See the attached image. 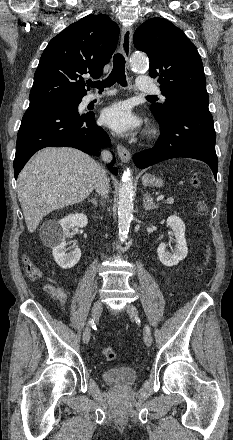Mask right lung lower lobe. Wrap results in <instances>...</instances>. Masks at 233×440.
Wrapping results in <instances>:
<instances>
[{
    "mask_svg": "<svg viewBox=\"0 0 233 440\" xmlns=\"http://www.w3.org/2000/svg\"><path fill=\"white\" fill-rule=\"evenodd\" d=\"M107 133L96 125L94 113L79 114L67 105L42 103L29 105L17 135L14 175L17 178L25 163L45 147H74L90 155H98L103 147H110ZM115 159L108 166L113 174Z\"/></svg>",
    "mask_w": 233,
    "mask_h": 440,
    "instance_id": "obj_1",
    "label": "right lung lower lobe"
}]
</instances>
